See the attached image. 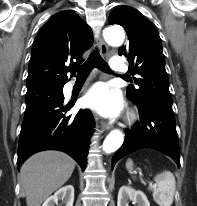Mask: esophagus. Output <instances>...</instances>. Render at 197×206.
Instances as JSON below:
<instances>
[{
    "mask_svg": "<svg viewBox=\"0 0 197 206\" xmlns=\"http://www.w3.org/2000/svg\"><path fill=\"white\" fill-rule=\"evenodd\" d=\"M97 43H98V46H99V50L101 52L102 55H106L108 53V46L107 44L105 43V41L102 39L101 36H98L97 38ZM101 126L103 129L105 130H109L112 128L111 125L105 123V122H102L101 123Z\"/></svg>",
    "mask_w": 197,
    "mask_h": 206,
    "instance_id": "esophagus-1",
    "label": "esophagus"
}]
</instances>
